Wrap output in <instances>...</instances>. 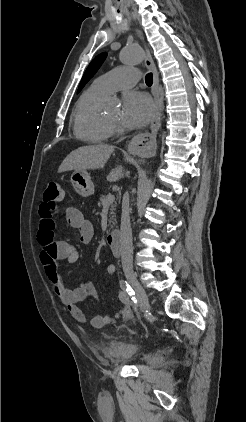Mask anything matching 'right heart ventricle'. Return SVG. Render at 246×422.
Instances as JSON below:
<instances>
[{"instance_id": "1", "label": "right heart ventricle", "mask_w": 246, "mask_h": 422, "mask_svg": "<svg viewBox=\"0 0 246 422\" xmlns=\"http://www.w3.org/2000/svg\"><path fill=\"white\" fill-rule=\"evenodd\" d=\"M107 94L93 85L82 93L73 112V131L76 137L90 143H102L111 135V125L100 112Z\"/></svg>"}]
</instances>
